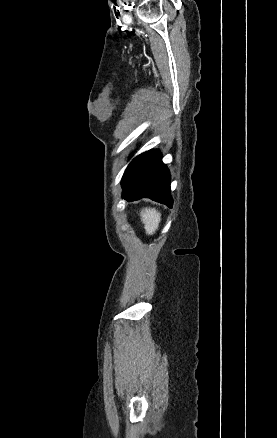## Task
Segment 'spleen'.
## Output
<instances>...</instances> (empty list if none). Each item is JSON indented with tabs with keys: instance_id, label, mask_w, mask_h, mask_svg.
<instances>
[{
	"instance_id": "spleen-1",
	"label": "spleen",
	"mask_w": 277,
	"mask_h": 438,
	"mask_svg": "<svg viewBox=\"0 0 277 438\" xmlns=\"http://www.w3.org/2000/svg\"><path fill=\"white\" fill-rule=\"evenodd\" d=\"M140 218L142 224H144L146 234L152 236L160 224L161 214H159L155 208H144V210L140 212Z\"/></svg>"
}]
</instances>
